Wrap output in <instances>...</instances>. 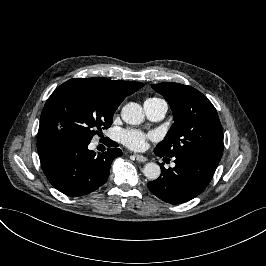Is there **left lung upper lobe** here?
Masks as SVG:
<instances>
[{
    "label": "left lung upper lobe",
    "instance_id": "obj_1",
    "mask_svg": "<svg viewBox=\"0 0 266 266\" xmlns=\"http://www.w3.org/2000/svg\"><path fill=\"white\" fill-rule=\"evenodd\" d=\"M152 88L168 101L175 121L154 150L167 157L194 153L220 161L223 131L212 103L191 86L171 82L152 84Z\"/></svg>",
    "mask_w": 266,
    "mask_h": 266
}]
</instances>
